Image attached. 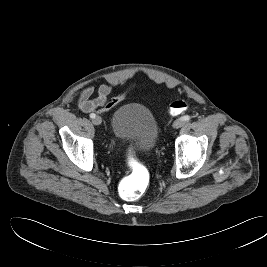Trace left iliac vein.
<instances>
[{"label":"left iliac vein","mask_w":267,"mask_h":267,"mask_svg":"<svg viewBox=\"0 0 267 267\" xmlns=\"http://www.w3.org/2000/svg\"><path fill=\"white\" fill-rule=\"evenodd\" d=\"M185 124L184 120L182 118L176 119L173 123V127L175 129H178L180 127H182Z\"/></svg>","instance_id":"left-iliac-vein-1"}]
</instances>
